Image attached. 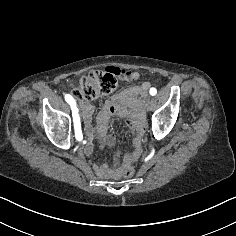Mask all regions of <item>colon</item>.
Here are the masks:
<instances>
[{
	"label": "colon",
	"instance_id": "obj_1",
	"mask_svg": "<svg viewBox=\"0 0 236 236\" xmlns=\"http://www.w3.org/2000/svg\"><path fill=\"white\" fill-rule=\"evenodd\" d=\"M122 74V70L113 67L104 71L93 70L80 79L79 84L72 89V95L80 101L93 100L108 95L115 90L117 77ZM121 174L125 179L131 178L135 174L134 166L127 164Z\"/></svg>",
	"mask_w": 236,
	"mask_h": 236
}]
</instances>
